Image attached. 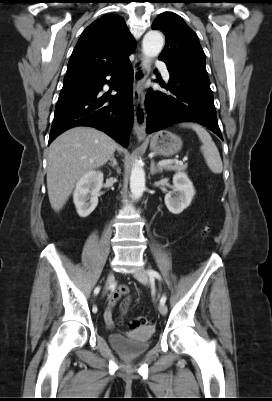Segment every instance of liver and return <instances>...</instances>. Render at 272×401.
Listing matches in <instances>:
<instances>
[{"mask_svg":"<svg viewBox=\"0 0 272 401\" xmlns=\"http://www.w3.org/2000/svg\"><path fill=\"white\" fill-rule=\"evenodd\" d=\"M116 149L119 147L110 136L91 127H75L58 136L50 145L47 161V189L53 210H61L76 182L106 164Z\"/></svg>","mask_w":272,"mask_h":401,"instance_id":"liver-1","label":"liver"}]
</instances>
